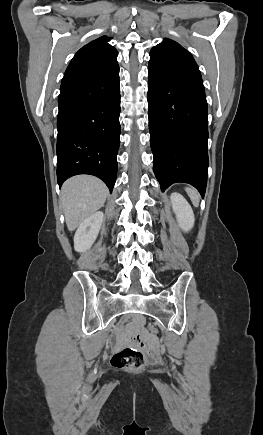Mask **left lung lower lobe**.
<instances>
[{
    "label": "left lung lower lobe",
    "mask_w": 263,
    "mask_h": 435,
    "mask_svg": "<svg viewBox=\"0 0 263 435\" xmlns=\"http://www.w3.org/2000/svg\"><path fill=\"white\" fill-rule=\"evenodd\" d=\"M148 108L153 171L161 190L185 182L204 197L209 161L202 80L169 72L149 61Z\"/></svg>",
    "instance_id": "1"
}]
</instances>
